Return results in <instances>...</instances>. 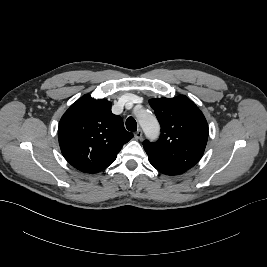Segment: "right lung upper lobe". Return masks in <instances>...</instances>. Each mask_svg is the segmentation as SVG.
Wrapping results in <instances>:
<instances>
[{
	"instance_id": "1",
	"label": "right lung upper lobe",
	"mask_w": 267,
	"mask_h": 267,
	"mask_svg": "<svg viewBox=\"0 0 267 267\" xmlns=\"http://www.w3.org/2000/svg\"><path fill=\"white\" fill-rule=\"evenodd\" d=\"M133 134L120 116L111 112V102L86 94L62 116L58 139L65 159L85 173H98L117 158Z\"/></svg>"
}]
</instances>
